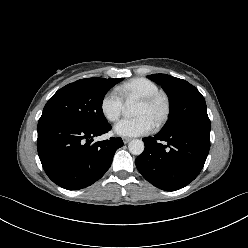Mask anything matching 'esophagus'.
Returning a JSON list of instances; mask_svg holds the SVG:
<instances>
[{"label":"esophagus","mask_w":248,"mask_h":248,"mask_svg":"<svg viewBox=\"0 0 248 248\" xmlns=\"http://www.w3.org/2000/svg\"><path fill=\"white\" fill-rule=\"evenodd\" d=\"M130 141H131V138H127V137L123 138L124 144H127V143H129Z\"/></svg>","instance_id":"obj_1"}]
</instances>
